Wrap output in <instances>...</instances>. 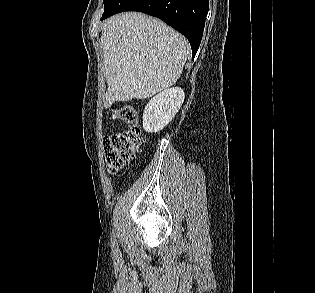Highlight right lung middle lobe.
<instances>
[{
  "label": "right lung middle lobe",
  "mask_w": 315,
  "mask_h": 293,
  "mask_svg": "<svg viewBox=\"0 0 315 293\" xmlns=\"http://www.w3.org/2000/svg\"><path fill=\"white\" fill-rule=\"evenodd\" d=\"M111 1L112 0H104V13L106 12V10H107L108 6L110 5Z\"/></svg>",
  "instance_id": "obj_1"
}]
</instances>
